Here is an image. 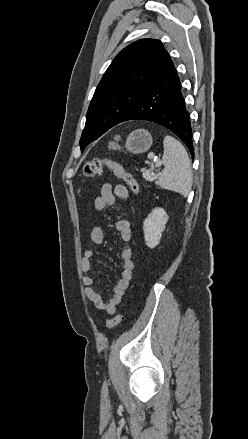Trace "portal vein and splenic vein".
<instances>
[{
	"label": "portal vein and splenic vein",
	"mask_w": 248,
	"mask_h": 439,
	"mask_svg": "<svg viewBox=\"0 0 248 439\" xmlns=\"http://www.w3.org/2000/svg\"><path fill=\"white\" fill-rule=\"evenodd\" d=\"M154 169V167L152 166L151 167V170H153ZM143 177L146 179V180H153L155 177H152L151 176V174H150V171H145L144 173H143Z\"/></svg>",
	"instance_id": "18ae733b"
}]
</instances>
